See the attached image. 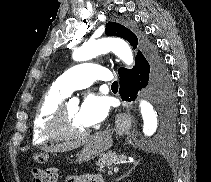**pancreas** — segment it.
<instances>
[{
	"label": "pancreas",
	"instance_id": "obj_1",
	"mask_svg": "<svg viewBox=\"0 0 211 182\" xmlns=\"http://www.w3.org/2000/svg\"><path fill=\"white\" fill-rule=\"evenodd\" d=\"M124 160V155L118 156L114 152L110 151L99 158L97 162L98 171L105 173L106 169H109L108 174L110 175L112 173L110 169L113 167V165Z\"/></svg>",
	"mask_w": 211,
	"mask_h": 182
}]
</instances>
